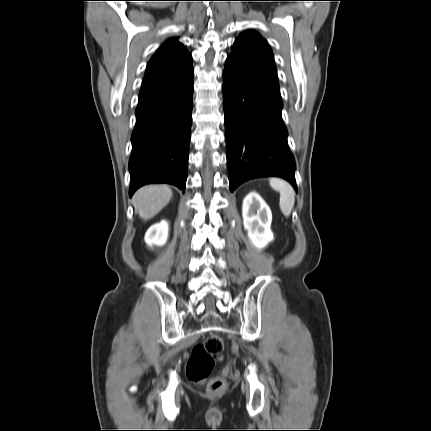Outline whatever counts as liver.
Returning a JSON list of instances; mask_svg holds the SVG:
<instances>
[{"label": "liver", "instance_id": "1", "mask_svg": "<svg viewBox=\"0 0 431 431\" xmlns=\"http://www.w3.org/2000/svg\"><path fill=\"white\" fill-rule=\"evenodd\" d=\"M172 195V190L167 185H148L134 194L133 204L139 217L149 220L170 202Z\"/></svg>", "mask_w": 431, "mask_h": 431}]
</instances>
